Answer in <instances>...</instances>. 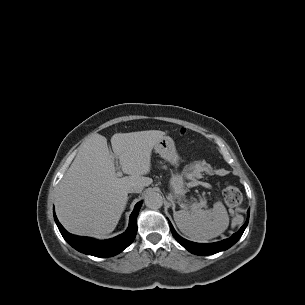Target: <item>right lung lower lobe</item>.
I'll return each instance as SVG.
<instances>
[{
	"mask_svg": "<svg viewBox=\"0 0 305 305\" xmlns=\"http://www.w3.org/2000/svg\"><path fill=\"white\" fill-rule=\"evenodd\" d=\"M142 205L138 202L130 216L129 227L125 233L108 240H95L88 237L68 233L58 221L55 212L54 219L63 238L76 250L96 257H111L122 252L134 240L137 233V216Z\"/></svg>",
	"mask_w": 305,
	"mask_h": 305,
	"instance_id": "right-lung-lower-lobe-1",
	"label": "right lung lower lobe"
}]
</instances>
